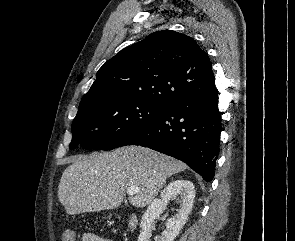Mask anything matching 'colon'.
Instances as JSON below:
<instances>
[{"instance_id": "1", "label": "colon", "mask_w": 295, "mask_h": 241, "mask_svg": "<svg viewBox=\"0 0 295 241\" xmlns=\"http://www.w3.org/2000/svg\"><path fill=\"white\" fill-rule=\"evenodd\" d=\"M62 241H75L74 232L72 230H66L63 233Z\"/></svg>"}]
</instances>
